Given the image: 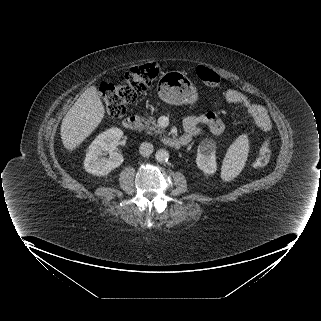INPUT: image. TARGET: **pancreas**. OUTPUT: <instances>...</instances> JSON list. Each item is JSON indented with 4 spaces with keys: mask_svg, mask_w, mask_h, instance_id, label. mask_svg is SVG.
<instances>
[{
    "mask_svg": "<svg viewBox=\"0 0 321 321\" xmlns=\"http://www.w3.org/2000/svg\"><path fill=\"white\" fill-rule=\"evenodd\" d=\"M145 130L148 134L154 132L156 134H162L164 130L155 123V120L153 118H148L145 120Z\"/></svg>",
    "mask_w": 321,
    "mask_h": 321,
    "instance_id": "pancreas-1",
    "label": "pancreas"
}]
</instances>
